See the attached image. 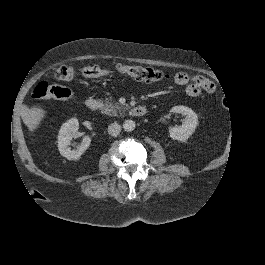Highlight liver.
Instances as JSON below:
<instances>
[{
    "label": "liver",
    "instance_id": "1",
    "mask_svg": "<svg viewBox=\"0 0 265 265\" xmlns=\"http://www.w3.org/2000/svg\"><path fill=\"white\" fill-rule=\"evenodd\" d=\"M44 115L45 111L41 108H25L23 110L22 119L28 129L34 131L39 126Z\"/></svg>",
    "mask_w": 265,
    "mask_h": 265
}]
</instances>
